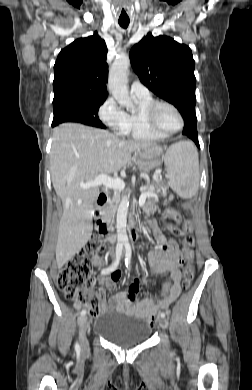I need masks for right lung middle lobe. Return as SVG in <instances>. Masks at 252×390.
Instances as JSON below:
<instances>
[{
	"mask_svg": "<svg viewBox=\"0 0 252 390\" xmlns=\"http://www.w3.org/2000/svg\"><path fill=\"white\" fill-rule=\"evenodd\" d=\"M105 99L68 98L53 102L54 118L52 127L63 122H79L106 128L98 117L99 107Z\"/></svg>",
	"mask_w": 252,
	"mask_h": 390,
	"instance_id": "1",
	"label": "right lung middle lobe"
}]
</instances>
